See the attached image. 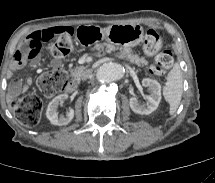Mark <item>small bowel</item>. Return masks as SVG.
Listing matches in <instances>:
<instances>
[{
	"label": "small bowel",
	"instance_id": "1",
	"mask_svg": "<svg viewBox=\"0 0 215 183\" xmlns=\"http://www.w3.org/2000/svg\"><path fill=\"white\" fill-rule=\"evenodd\" d=\"M70 30L69 27H64V26H53V27H46L40 30H37L30 34L27 39L25 40V43L32 42L36 39H39L42 43L52 39L57 33L62 32V31H68ZM28 59L27 57L21 56L20 51L16 53L15 60L13 64L9 67L8 69V76H11L15 74L17 71L23 69L25 66L28 65ZM33 65H37L38 62L36 60L31 62ZM60 62L58 60H53L52 61V66L53 67H58ZM31 84V80L28 79L26 83L22 84L20 82H15L12 84L10 88V97H15L17 96L21 91H24L28 88V86Z\"/></svg>",
	"mask_w": 215,
	"mask_h": 183
}]
</instances>
